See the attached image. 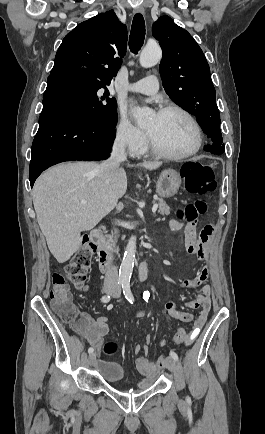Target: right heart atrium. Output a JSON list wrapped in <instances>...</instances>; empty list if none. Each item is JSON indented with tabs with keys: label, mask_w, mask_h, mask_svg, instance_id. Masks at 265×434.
<instances>
[{
	"label": "right heart atrium",
	"mask_w": 265,
	"mask_h": 434,
	"mask_svg": "<svg viewBox=\"0 0 265 434\" xmlns=\"http://www.w3.org/2000/svg\"><path fill=\"white\" fill-rule=\"evenodd\" d=\"M118 114L113 128L116 138L112 141L113 148H122L124 154H140L145 151L147 138L144 136L142 127L135 125L131 118L126 115L127 108L124 101L117 103Z\"/></svg>",
	"instance_id": "right-heart-atrium-1"
}]
</instances>
